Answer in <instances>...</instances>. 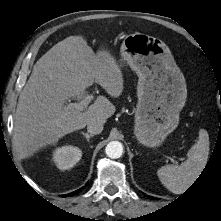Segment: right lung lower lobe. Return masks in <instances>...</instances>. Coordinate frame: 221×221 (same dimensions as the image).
<instances>
[{"mask_svg":"<svg viewBox=\"0 0 221 221\" xmlns=\"http://www.w3.org/2000/svg\"><path fill=\"white\" fill-rule=\"evenodd\" d=\"M80 190H81V189H78V190H76V191H74V192H72V193H69V194H67V195H63V196H73V195L79 193Z\"/></svg>","mask_w":221,"mask_h":221,"instance_id":"98d812e1","label":"right lung lower lobe"}]
</instances>
